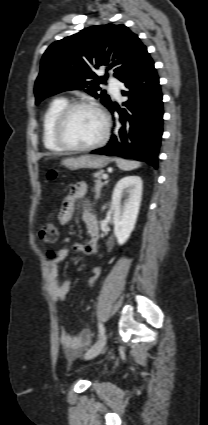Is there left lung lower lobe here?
<instances>
[{"label":"left lung lower lobe","instance_id":"1","mask_svg":"<svg viewBox=\"0 0 208 425\" xmlns=\"http://www.w3.org/2000/svg\"><path fill=\"white\" fill-rule=\"evenodd\" d=\"M123 96L128 100L124 109L111 103L108 109L117 110L120 118L107 146L92 153L131 158L158 167V151L163 132V103L159 78L148 52L137 68L125 77Z\"/></svg>","mask_w":208,"mask_h":425}]
</instances>
